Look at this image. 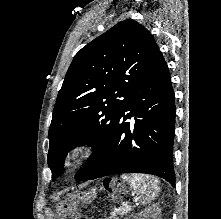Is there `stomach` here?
Segmentation results:
<instances>
[{
	"instance_id": "1",
	"label": "stomach",
	"mask_w": 221,
	"mask_h": 219,
	"mask_svg": "<svg viewBox=\"0 0 221 219\" xmlns=\"http://www.w3.org/2000/svg\"><path fill=\"white\" fill-rule=\"evenodd\" d=\"M97 183H119V178H97ZM113 184V187H114ZM120 184L117 185V187ZM109 190V194H99V199H116V195H126V190Z\"/></svg>"
}]
</instances>
